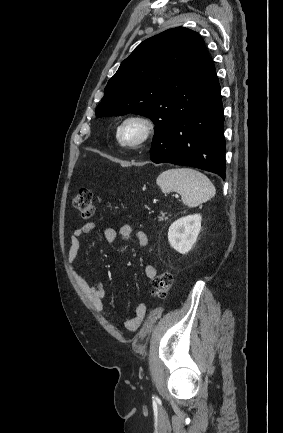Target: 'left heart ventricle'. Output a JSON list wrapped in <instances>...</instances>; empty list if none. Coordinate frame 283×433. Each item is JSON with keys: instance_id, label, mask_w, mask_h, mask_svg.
I'll list each match as a JSON object with an SVG mask.
<instances>
[{"instance_id": "1", "label": "left heart ventricle", "mask_w": 283, "mask_h": 433, "mask_svg": "<svg viewBox=\"0 0 283 433\" xmlns=\"http://www.w3.org/2000/svg\"><path fill=\"white\" fill-rule=\"evenodd\" d=\"M143 133V127L140 123L131 122L124 126L121 136L125 141L139 138Z\"/></svg>"}]
</instances>
